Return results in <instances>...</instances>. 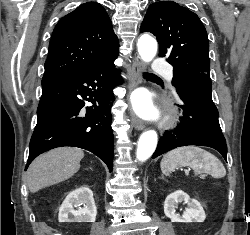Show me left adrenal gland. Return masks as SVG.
<instances>
[{
    "mask_svg": "<svg viewBox=\"0 0 250 235\" xmlns=\"http://www.w3.org/2000/svg\"><path fill=\"white\" fill-rule=\"evenodd\" d=\"M160 179H163V180H165L164 176H161V177H160Z\"/></svg>",
    "mask_w": 250,
    "mask_h": 235,
    "instance_id": "obj_1",
    "label": "left adrenal gland"
}]
</instances>
